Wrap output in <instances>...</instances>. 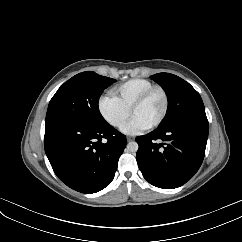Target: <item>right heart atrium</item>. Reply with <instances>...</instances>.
Instances as JSON below:
<instances>
[{"label": "right heart atrium", "mask_w": 242, "mask_h": 242, "mask_svg": "<svg viewBox=\"0 0 242 242\" xmlns=\"http://www.w3.org/2000/svg\"><path fill=\"white\" fill-rule=\"evenodd\" d=\"M98 111L112 127L121 128L130 116V110L123 107L112 96H103L98 101Z\"/></svg>", "instance_id": "obj_1"}]
</instances>
